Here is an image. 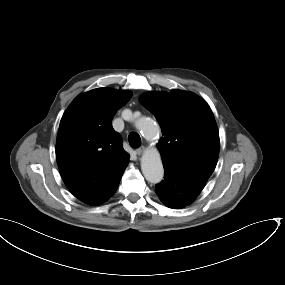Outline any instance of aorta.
Here are the masks:
<instances>
[{
    "label": "aorta",
    "instance_id": "obj_1",
    "mask_svg": "<svg viewBox=\"0 0 285 285\" xmlns=\"http://www.w3.org/2000/svg\"><path fill=\"white\" fill-rule=\"evenodd\" d=\"M135 127L147 140H154L159 137L158 125L148 117L135 119ZM141 170L147 181L159 183L164 176V169L160 153L157 149H149L144 152L141 158Z\"/></svg>",
    "mask_w": 285,
    "mask_h": 285
}]
</instances>
